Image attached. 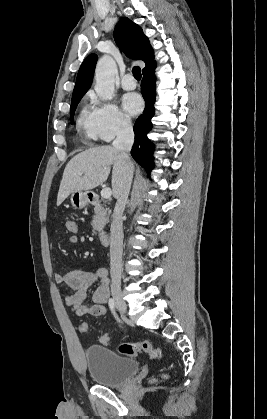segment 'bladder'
<instances>
[{
    "label": "bladder",
    "instance_id": "bladder-1",
    "mask_svg": "<svg viewBox=\"0 0 267 419\" xmlns=\"http://www.w3.org/2000/svg\"><path fill=\"white\" fill-rule=\"evenodd\" d=\"M84 353L88 374L101 386L121 385L133 377L139 369L136 360L123 357L102 345L88 346Z\"/></svg>",
    "mask_w": 267,
    "mask_h": 419
}]
</instances>
